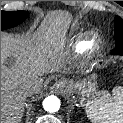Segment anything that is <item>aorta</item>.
Masks as SVG:
<instances>
[{
    "label": "aorta",
    "instance_id": "1",
    "mask_svg": "<svg viewBox=\"0 0 123 123\" xmlns=\"http://www.w3.org/2000/svg\"><path fill=\"white\" fill-rule=\"evenodd\" d=\"M43 108L49 113L57 112L60 108V100L55 95L46 97L43 101Z\"/></svg>",
    "mask_w": 123,
    "mask_h": 123
}]
</instances>
